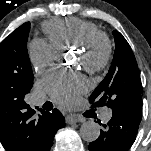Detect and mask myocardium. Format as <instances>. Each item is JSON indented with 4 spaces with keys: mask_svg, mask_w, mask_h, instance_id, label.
<instances>
[{
    "mask_svg": "<svg viewBox=\"0 0 151 151\" xmlns=\"http://www.w3.org/2000/svg\"><path fill=\"white\" fill-rule=\"evenodd\" d=\"M83 55L82 66L90 73H99L107 68L112 57V45L106 34L96 32L78 46Z\"/></svg>",
    "mask_w": 151,
    "mask_h": 151,
    "instance_id": "1",
    "label": "myocardium"
}]
</instances>
